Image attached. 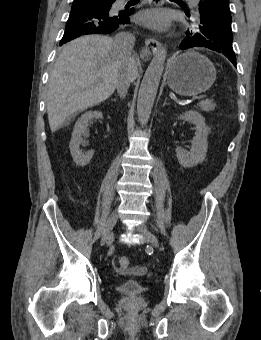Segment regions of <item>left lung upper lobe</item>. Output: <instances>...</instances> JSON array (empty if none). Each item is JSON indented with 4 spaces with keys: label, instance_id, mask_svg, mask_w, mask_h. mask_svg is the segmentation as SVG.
I'll return each mask as SVG.
<instances>
[{
    "label": "left lung upper lobe",
    "instance_id": "left-lung-upper-lobe-1",
    "mask_svg": "<svg viewBox=\"0 0 261 340\" xmlns=\"http://www.w3.org/2000/svg\"><path fill=\"white\" fill-rule=\"evenodd\" d=\"M204 0H200V4ZM229 3V0H221ZM200 17V16H199ZM194 31H187V36L197 38L198 46L206 47L221 53L222 50L233 49V33L231 30V18L223 13H217L216 16L208 21H201L200 18L195 22Z\"/></svg>",
    "mask_w": 261,
    "mask_h": 340
}]
</instances>
